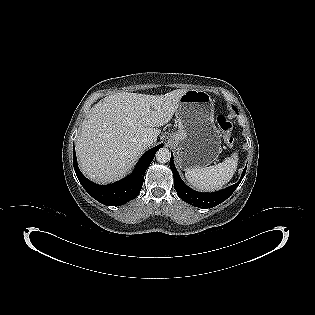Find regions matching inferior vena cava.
Wrapping results in <instances>:
<instances>
[{
    "instance_id": "obj_1",
    "label": "inferior vena cava",
    "mask_w": 315,
    "mask_h": 315,
    "mask_svg": "<svg viewBox=\"0 0 315 315\" xmlns=\"http://www.w3.org/2000/svg\"><path fill=\"white\" fill-rule=\"evenodd\" d=\"M142 143L146 146H151L154 143V139L151 136H144L142 138Z\"/></svg>"
}]
</instances>
